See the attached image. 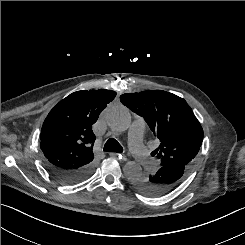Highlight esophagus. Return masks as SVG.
<instances>
[{"mask_svg":"<svg viewBox=\"0 0 245 245\" xmlns=\"http://www.w3.org/2000/svg\"><path fill=\"white\" fill-rule=\"evenodd\" d=\"M109 155H110L111 157H118V158L121 159L122 161H126V160H127L126 156L121 155V154L116 153V152H111V153H109Z\"/></svg>","mask_w":245,"mask_h":245,"instance_id":"34e87169","label":"esophagus"}]
</instances>
